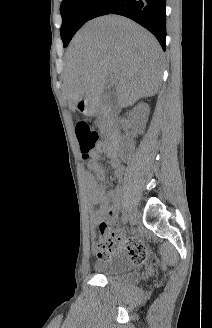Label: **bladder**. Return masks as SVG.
Listing matches in <instances>:
<instances>
[{"label":"bladder","instance_id":"obj_1","mask_svg":"<svg viewBox=\"0 0 212 328\" xmlns=\"http://www.w3.org/2000/svg\"><path fill=\"white\" fill-rule=\"evenodd\" d=\"M96 272L107 279L121 282H136L140 278L139 272L123 257H112L94 266Z\"/></svg>","mask_w":212,"mask_h":328}]
</instances>
